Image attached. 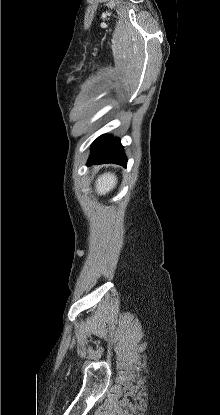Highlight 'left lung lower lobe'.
I'll list each match as a JSON object with an SVG mask.
<instances>
[{
  "label": "left lung lower lobe",
  "instance_id": "0a47b994",
  "mask_svg": "<svg viewBox=\"0 0 220 415\" xmlns=\"http://www.w3.org/2000/svg\"><path fill=\"white\" fill-rule=\"evenodd\" d=\"M103 163H115L124 167L127 165V158L120 140L106 134L93 142L87 165Z\"/></svg>",
  "mask_w": 220,
  "mask_h": 415
}]
</instances>
